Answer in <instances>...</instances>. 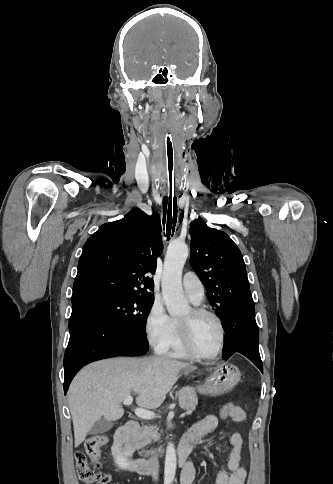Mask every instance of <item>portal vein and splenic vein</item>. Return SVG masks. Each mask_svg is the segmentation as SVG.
Listing matches in <instances>:
<instances>
[{"label": "portal vein and splenic vein", "mask_w": 333, "mask_h": 484, "mask_svg": "<svg viewBox=\"0 0 333 484\" xmlns=\"http://www.w3.org/2000/svg\"><path fill=\"white\" fill-rule=\"evenodd\" d=\"M133 401V398L131 395H128L124 401H123V404L124 405H130ZM135 412V415L139 418H142V419H147V420H151L153 418H155V413L150 411V410H147V409H142V408H136L134 410ZM185 416V414H181L180 417L183 418Z\"/></svg>", "instance_id": "18ae733b"}]
</instances>
